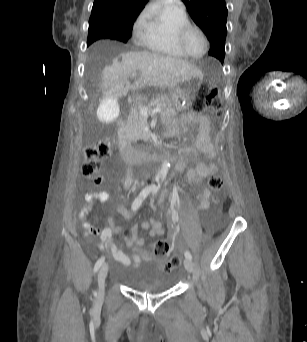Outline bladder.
I'll use <instances>...</instances> for the list:
<instances>
[{
	"label": "bladder",
	"mask_w": 307,
	"mask_h": 342,
	"mask_svg": "<svg viewBox=\"0 0 307 342\" xmlns=\"http://www.w3.org/2000/svg\"><path fill=\"white\" fill-rule=\"evenodd\" d=\"M123 280L129 288L151 294L165 292L175 284L169 273L158 271L140 263L128 265Z\"/></svg>",
	"instance_id": "31cf9c89"
}]
</instances>
